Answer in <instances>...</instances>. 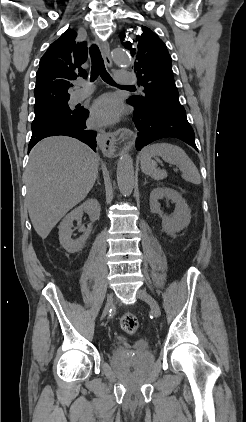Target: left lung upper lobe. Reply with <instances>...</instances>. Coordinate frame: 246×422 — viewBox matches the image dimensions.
I'll use <instances>...</instances> for the list:
<instances>
[{
  "label": "left lung upper lobe",
  "instance_id": "obj_1",
  "mask_svg": "<svg viewBox=\"0 0 246 422\" xmlns=\"http://www.w3.org/2000/svg\"><path fill=\"white\" fill-rule=\"evenodd\" d=\"M120 41L134 57L138 84L144 87L142 96H132L127 102L139 109L186 113L178 99L171 57L164 42L143 26H131L120 34Z\"/></svg>",
  "mask_w": 246,
  "mask_h": 422
}]
</instances>
